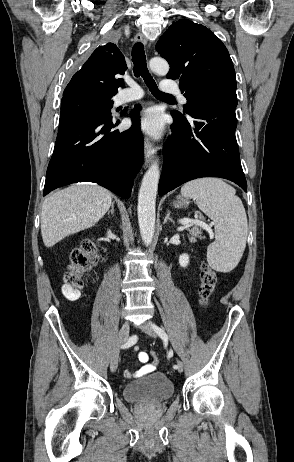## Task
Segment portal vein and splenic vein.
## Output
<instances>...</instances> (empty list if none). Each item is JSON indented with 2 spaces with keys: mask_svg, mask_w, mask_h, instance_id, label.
Segmentation results:
<instances>
[{
  "mask_svg": "<svg viewBox=\"0 0 294 462\" xmlns=\"http://www.w3.org/2000/svg\"><path fill=\"white\" fill-rule=\"evenodd\" d=\"M179 222H180V224L182 226H189L191 224H196V225H199V226H202V227H208L204 222H202L200 220H192V219H189V218L181 219Z\"/></svg>",
  "mask_w": 294,
  "mask_h": 462,
  "instance_id": "portal-vein-and-splenic-vein-1",
  "label": "portal vein and splenic vein"
}]
</instances>
